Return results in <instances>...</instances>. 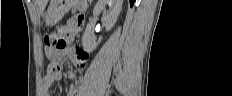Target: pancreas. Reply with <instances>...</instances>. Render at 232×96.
Listing matches in <instances>:
<instances>
[{
    "instance_id": "1",
    "label": "pancreas",
    "mask_w": 232,
    "mask_h": 96,
    "mask_svg": "<svg viewBox=\"0 0 232 96\" xmlns=\"http://www.w3.org/2000/svg\"><path fill=\"white\" fill-rule=\"evenodd\" d=\"M88 6L85 2L78 3L72 8V12L75 13L76 11H82L85 12L87 10Z\"/></svg>"
}]
</instances>
